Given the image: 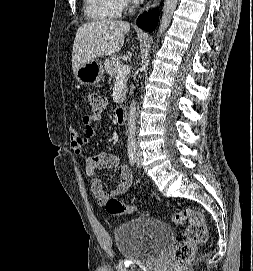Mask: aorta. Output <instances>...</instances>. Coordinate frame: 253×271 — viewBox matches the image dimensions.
Returning a JSON list of instances; mask_svg holds the SVG:
<instances>
[{"label": "aorta", "mask_w": 253, "mask_h": 271, "mask_svg": "<svg viewBox=\"0 0 253 271\" xmlns=\"http://www.w3.org/2000/svg\"><path fill=\"white\" fill-rule=\"evenodd\" d=\"M178 4V0H165L162 10V17L160 21L159 30L157 33V37H161V35L165 32V30L169 27L174 11L176 10ZM136 100H132L129 106V115H128V139L133 140L136 134V116H137V107Z\"/></svg>", "instance_id": "1"}]
</instances>
